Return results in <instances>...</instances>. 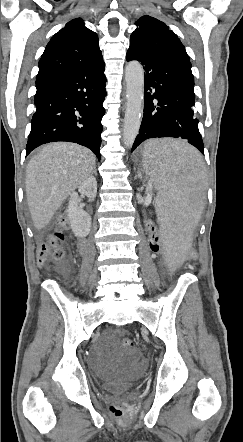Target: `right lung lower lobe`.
I'll list each match as a JSON object with an SVG mask.
<instances>
[{
	"label": "right lung lower lobe",
	"mask_w": 243,
	"mask_h": 442,
	"mask_svg": "<svg viewBox=\"0 0 243 442\" xmlns=\"http://www.w3.org/2000/svg\"><path fill=\"white\" fill-rule=\"evenodd\" d=\"M104 67L102 61L36 78V111L26 156L42 144L69 141L88 147L100 160Z\"/></svg>",
	"instance_id": "1"
}]
</instances>
